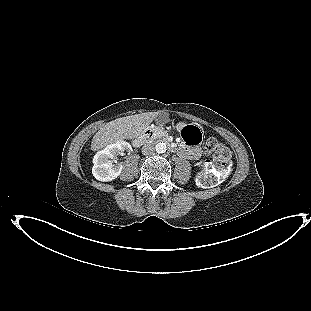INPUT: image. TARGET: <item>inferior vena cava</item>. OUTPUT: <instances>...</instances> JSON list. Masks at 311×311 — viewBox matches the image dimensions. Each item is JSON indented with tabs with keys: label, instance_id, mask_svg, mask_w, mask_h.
Here are the masks:
<instances>
[{
	"label": "inferior vena cava",
	"instance_id": "1",
	"mask_svg": "<svg viewBox=\"0 0 311 311\" xmlns=\"http://www.w3.org/2000/svg\"><path fill=\"white\" fill-rule=\"evenodd\" d=\"M154 151H155V147L150 143L144 144L142 147V153L144 155H152L154 154Z\"/></svg>",
	"mask_w": 311,
	"mask_h": 311
}]
</instances>
